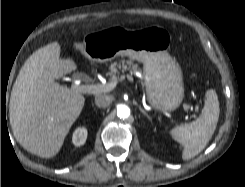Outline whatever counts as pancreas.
<instances>
[{
    "mask_svg": "<svg viewBox=\"0 0 245 187\" xmlns=\"http://www.w3.org/2000/svg\"><path fill=\"white\" fill-rule=\"evenodd\" d=\"M109 72L107 73V76L110 77V79L113 80H121L120 71L124 72L128 70L130 73H136L139 71V67L137 64H133L132 61H125L121 60L119 63L114 62L109 67Z\"/></svg>",
    "mask_w": 245,
    "mask_h": 187,
    "instance_id": "pancreas-1",
    "label": "pancreas"
}]
</instances>
